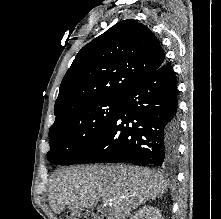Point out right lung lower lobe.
Returning <instances> with one entry per match:
<instances>
[{
	"mask_svg": "<svg viewBox=\"0 0 221 219\" xmlns=\"http://www.w3.org/2000/svg\"><path fill=\"white\" fill-rule=\"evenodd\" d=\"M177 82L169 63L131 87L99 136L63 165L128 162L171 166L177 158Z\"/></svg>",
	"mask_w": 221,
	"mask_h": 219,
	"instance_id": "obj_1",
	"label": "right lung lower lobe"
}]
</instances>
